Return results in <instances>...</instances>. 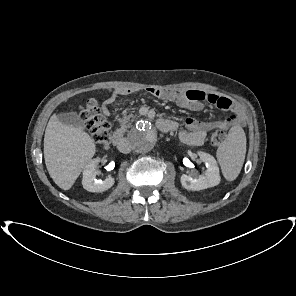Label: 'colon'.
I'll list each match as a JSON object with an SVG mask.
<instances>
[{
    "label": "colon",
    "mask_w": 296,
    "mask_h": 296,
    "mask_svg": "<svg viewBox=\"0 0 296 296\" xmlns=\"http://www.w3.org/2000/svg\"><path fill=\"white\" fill-rule=\"evenodd\" d=\"M79 117L90 130L96 145L103 149H108L111 145V126L97 102L90 99L82 104L79 110ZM226 139V131L218 129L212 133L210 142L214 146H219Z\"/></svg>",
    "instance_id": "colon-1"
}]
</instances>
